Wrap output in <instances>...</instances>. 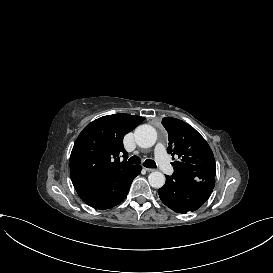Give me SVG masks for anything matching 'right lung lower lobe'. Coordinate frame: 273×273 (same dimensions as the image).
<instances>
[{
    "label": "right lung lower lobe",
    "instance_id": "98d812e1",
    "mask_svg": "<svg viewBox=\"0 0 273 273\" xmlns=\"http://www.w3.org/2000/svg\"><path fill=\"white\" fill-rule=\"evenodd\" d=\"M141 169H142L141 166H136V168L134 169L131 175H129L126 179L121 180L119 183L115 184L113 197L108 202L94 208L108 209L122 202L128 194V191L133 179L140 174Z\"/></svg>",
    "mask_w": 273,
    "mask_h": 273
}]
</instances>
